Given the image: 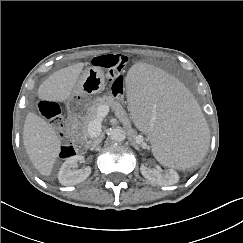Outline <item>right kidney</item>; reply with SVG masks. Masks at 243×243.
<instances>
[{
	"label": "right kidney",
	"mask_w": 243,
	"mask_h": 243,
	"mask_svg": "<svg viewBox=\"0 0 243 243\" xmlns=\"http://www.w3.org/2000/svg\"><path fill=\"white\" fill-rule=\"evenodd\" d=\"M83 162L84 157L81 155L69 157L60 167L58 173L59 182L64 186H71L86 180L91 174V167L87 166L78 170L73 169L76 164Z\"/></svg>",
	"instance_id": "obj_1"
}]
</instances>
